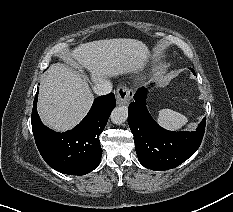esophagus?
Listing matches in <instances>:
<instances>
[{
	"label": "esophagus",
	"instance_id": "obj_1",
	"mask_svg": "<svg viewBox=\"0 0 233 212\" xmlns=\"http://www.w3.org/2000/svg\"><path fill=\"white\" fill-rule=\"evenodd\" d=\"M133 92L127 87H119L117 89L116 100L118 105H128L132 99Z\"/></svg>",
	"mask_w": 233,
	"mask_h": 212
}]
</instances>
